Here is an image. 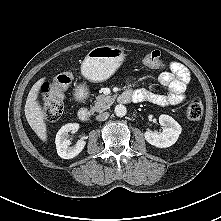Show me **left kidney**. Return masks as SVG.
<instances>
[{"label":"left kidney","mask_w":221,"mask_h":221,"mask_svg":"<svg viewBox=\"0 0 221 221\" xmlns=\"http://www.w3.org/2000/svg\"><path fill=\"white\" fill-rule=\"evenodd\" d=\"M159 123L163 126L161 133L157 131H146L144 133L146 141L158 148L172 146L181 134L182 128L179 123L169 115H160Z\"/></svg>","instance_id":"left-kidney-1"}]
</instances>
